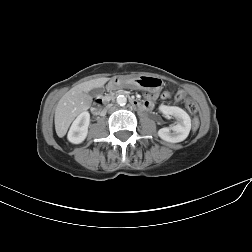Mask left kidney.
Instances as JSON below:
<instances>
[{
	"instance_id": "obj_1",
	"label": "left kidney",
	"mask_w": 252,
	"mask_h": 252,
	"mask_svg": "<svg viewBox=\"0 0 252 252\" xmlns=\"http://www.w3.org/2000/svg\"><path fill=\"white\" fill-rule=\"evenodd\" d=\"M159 111L167 116H174L177 119V124L173 127L161 128L158 131L159 137L171 143H178L185 140L191 130L190 116L183 109L176 106L160 105Z\"/></svg>"
}]
</instances>
